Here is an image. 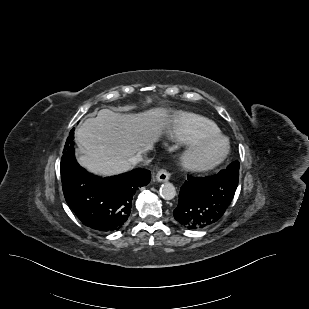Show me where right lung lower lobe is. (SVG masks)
<instances>
[{
	"instance_id": "right-lung-lower-lobe-1",
	"label": "right lung lower lobe",
	"mask_w": 309,
	"mask_h": 309,
	"mask_svg": "<svg viewBox=\"0 0 309 309\" xmlns=\"http://www.w3.org/2000/svg\"><path fill=\"white\" fill-rule=\"evenodd\" d=\"M73 138L74 128L60 165L66 202L85 226L100 232L117 231L128 220L135 191L150 182L151 172L136 169L108 178L89 174L75 159Z\"/></svg>"
}]
</instances>
